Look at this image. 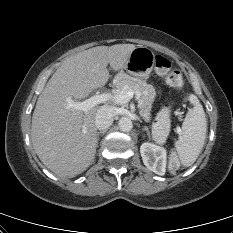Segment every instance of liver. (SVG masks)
Here are the masks:
<instances>
[{"label": "liver", "instance_id": "6515ba94", "mask_svg": "<svg viewBox=\"0 0 233 233\" xmlns=\"http://www.w3.org/2000/svg\"><path fill=\"white\" fill-rule=\"evenodd\" d=\"M134 44L97 46L66 58L40 94L32 116L31 139L41 162L59 177L72 178L94 161L97 147L95 106L84 112L68 106L104 86L124 69Z\"/></svg>", "mask_w": 233, "mask_h": 233}]
</instances>
